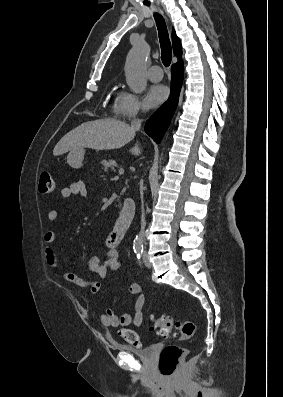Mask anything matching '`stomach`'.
<instances>
[{"instance_id":"0dacf381","label":"stomach","mask_w":283,"mask_h":397,"mask_svg":"<svg viewBox=\"0 0 283 397\" xmlns=\"http://www.w3.org/2000/svg\"><path fill=\"white\" fill-rule=\"evenodd\" d=\"M84 150H71L67 156L68 164L75 169H78L82 166L83 158H84Z\"/></svg>"}]
</instances>
